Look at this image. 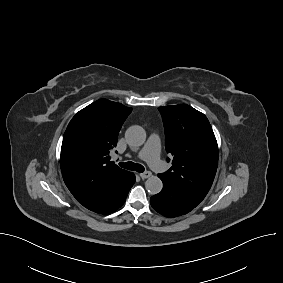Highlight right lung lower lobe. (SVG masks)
<instances>
[{"instance_id":"obj_1","label":"right lung lower lobe","mask_w":283,"mask_h":283,"mask_svg":"<svg viewBox=\"0 0 283 283\" xmlns=\"http://www.w3.org/2000/svg\"><path fill=\"white\" fill-rule=\"evenodd\" d=\"M135 176L133 173H131L129 180L127 181L126 185H124L121 189H119L113 197L107 201L102 206L92 209V211L100 214H109L111 212L116 211L118 208H120L124 202L126 201L127 194L130 190V188L135 183Z\"/></svg>"}]
</instances>
